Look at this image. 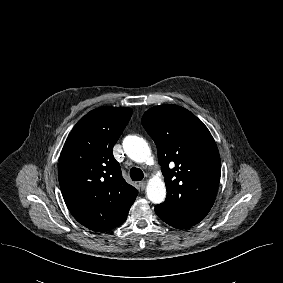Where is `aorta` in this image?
<instances>
[{"label":"aorta","mask_w":283,"mask_h":283,"mask_svg":"<svg viewBox=\"0 0 283 283\" xmlns=\"http://www.w3.org/2000/svg\"><path fill=\"white\" fill-rule=\"evenodd\" d=\"M123 149L126 155L137 163L151 160V149L147 142L138 136H127L123 140ZM148 199L154 204H160L165 200L166 187L160 178L149 180L146 188Z\"/></svg>","instance_id":"1"}]
</instances>
